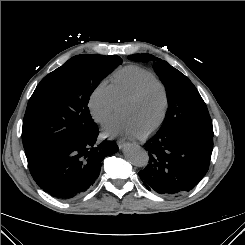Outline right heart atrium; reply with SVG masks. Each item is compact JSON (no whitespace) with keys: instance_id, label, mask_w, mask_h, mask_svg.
<instances>
[{"instance_id":"obj_1","label":"right heart atrium","mask_w":245,"mask_h":245,"mask_svg":"<svg viewBox=\"0 0 245 245\" xmlns=\"http://www.w3.org/2000/svg\"><path fill=\"white\" fill-rule=\"evenodd\" d=\"M88 108L93 119L105 125L109 123L117 112V101L115 99L111 84L100 81L88 99Z\"/></svg>"}]
</instances>
